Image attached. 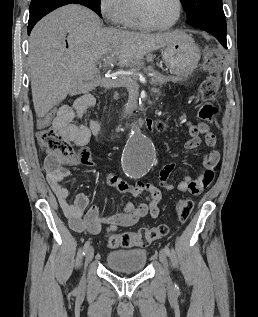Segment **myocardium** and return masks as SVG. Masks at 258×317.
<instances>
[{"label": "myocardium", "mask_w": 258, "mask_h": 317, "mask_svg": "<svg viewBox=\"0 0 258 317\" xmlns=\"http://www.w3.org/2000/svg\"><path fill=\"white\" fill-rule=\"evenodd\" d=\"M154 0H141L136 11V18L140 29L148 32L165 31L174 27L182 14V3L180 0H173L177 5V15L174 21L165 26H150L145 19V11Z\"/></svg>", "instance_id": "1"}]
</instances>
